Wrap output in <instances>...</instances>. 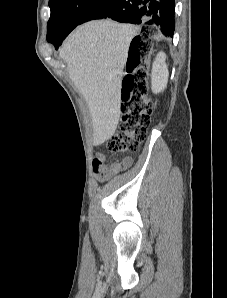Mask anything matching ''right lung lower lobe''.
Returning <instances> with one entry per match:
<instances>
[{"label":"right lung lower lobe","mask_w":227,"mask_h":298,"mask_svg":"<svg viewBox=\"0 0 227 298\" xmlns=\"http://www.w3.org/2000/svg\"><path fill=\"white\" fill-rule=\"evenodd\" d=\"M175 0H101L80 24L93 19L111 18L118 22L158 27L165 36L174 34ZM70 32L47 38L57 49Z\"/></svg>","instance_id":"98d812e1"}]
</instances>
